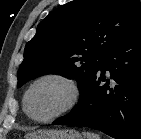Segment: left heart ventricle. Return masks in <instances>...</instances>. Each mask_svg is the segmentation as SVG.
<instances>
[{"label": "left heart ventricle", "instance_id": "b2bd125f", "mask_svg": "<svg viewBox=\"0 0 141 139\" xmlns=\"http://www.w3.org/2000/svg\"><path fill=\"white\" fill-rule=\"evenodd\" d=\"M70 97L68 87L58 80H45L32 90L28 107L37 118H47L61 110Z\"/></svg>", "mask_w": 141, "mask_h": 139}]
</instances>
